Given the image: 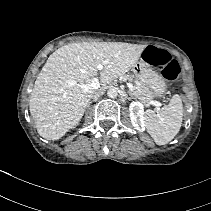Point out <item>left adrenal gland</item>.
Instances as JSON below:
<instances>
[{
  "label": "left adrenal gland",
  "mask_w": 211,
  "mask_h": 211,
  "mask_svg": "<svg viewBox=\"0 0 211 211\" xmlns=\"http://www.w3.org/2000/svg\"><path fill=\"white\" fill-rule=\"evenodd\" d=\"M128 94H129L130 98L136 99L135 96L132 93L128 92Z\"/></svg>",
  "instance_id": "obj_1"
}]
</instances>
